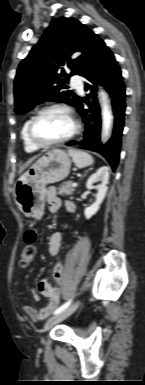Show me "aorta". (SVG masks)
Instances as JSON below:
<instances>
[{
  "label": "aorta",
  "instance_id": "762f6f07",
  "mask_svg": "<svg viewBox=\"0 0 145 385\" xmlns=\"http://www.w3.org/2000/svg\"><path fill=\"white\" fill-rule=\"evenodd\" d=\"M101 105H102V121H103V130L102 137L107 138L110 134V130L113 122V115L108 104V96L103 89L99 90Z\"/></svg>",
  "mask_w": 145,
  "mask_h": 385
}]
</instances>
